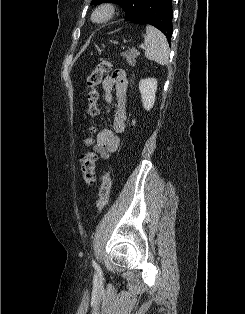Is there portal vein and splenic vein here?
<instances>
[{"mask_svg":"<svg viewBox=\"0 0 245 314\" xmlns=\"http://www.w3.org/2000/svg\"><path fill=\"white\" fill-rule=\"evenodd\" d=\"M140 48H141V49H145V45H144V44H141V45H140Z\"/></svg>","mask_w":245,"mask_h":314,"instance_id":"1","label":"portal vein and splenic vein"}]
</instances>
